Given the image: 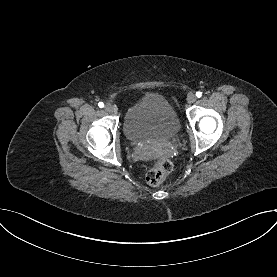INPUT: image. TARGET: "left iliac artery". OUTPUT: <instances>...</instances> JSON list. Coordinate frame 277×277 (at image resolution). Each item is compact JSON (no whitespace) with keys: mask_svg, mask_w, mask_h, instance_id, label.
I'll return each instance as SVG.
<instances>
[{"mask_svg":"<svg viewBox=\"0 0 277 277\" xmlns=\"http://www.w3.org/2000/svg\"><path fill=\"white\" fill-rule=\"evenodd\" d=\"M196 96L200 98L202 96V93L200 91L196 92Z\"/></svg>","mask_w":277,"mask_h":277,"instance_id":"obj_1","label":"left iliac artery"}]
</instances>
